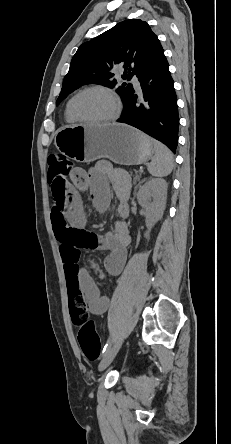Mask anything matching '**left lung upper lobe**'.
Masks as SVG:
<instances>
[{"mask_svg":"<svg viewBox=\"0 0 231 444\" xmlns=\"http://www.w3.org/2000/svg\"><path fill=\"white\" fill-rule=\"evenodd\" d=\"M160 48V41L145 21L129 19L118 23L78 48L56 104L85 84L115 87L116 80H111L115 67H122V78L130 80ZM132 89V84L123 83L116 90L125 102Z\"/></svg>","mask_w":231,"mask_h":444,"instance_id":"obj_1","label":"left lung upper lobe"}]
</instances>
